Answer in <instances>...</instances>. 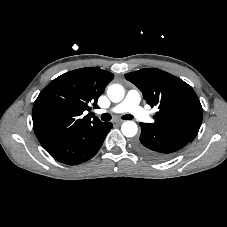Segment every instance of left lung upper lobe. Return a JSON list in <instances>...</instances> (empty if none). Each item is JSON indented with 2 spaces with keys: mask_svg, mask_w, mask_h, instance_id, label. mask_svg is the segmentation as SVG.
Returning <instances> with one entry per match:
<instances>
[{
  "mask_svg": "<svg viewBox=\"0 0 227 227\" xmlns=\"http://www.w3.org/2000/svg\"><path fill=\"white\" fill-rule=\"evenodd\" d=\"M125 77L141 90L151 107L159 108L154 116L155 122L146 123L148 127L194 140L202 123L203 111L190 85L157 68L140 69L125 74Z\"/></svg>",
  "mask_w": 227,
  "mask_h": 227,
  "instance_id": "obj_1",
  "label": "left lung upper lobe"
}]
</instances>
